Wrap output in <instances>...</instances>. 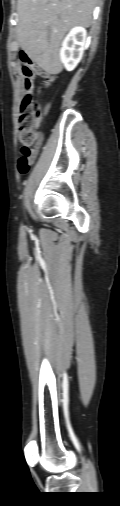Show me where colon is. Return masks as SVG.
<instances>
[{"label":"colon","instance_id":"obj_1","mask_svg":"<svg viewBox=\"0 0 120 506\" xmlns=\"http://www.w3.org/2000/svg\"><path fill=\"white\" fill-rule=\"evenodd\" d=\"M16 55L20 58V62L23 63L22 72L26 90V93L22 97L21 114L19 118V139L22 147L18 160V170L24 175L29 172L33 158L41 145L42 139L41 133L38 130L42 112L35 103L29 89L33 85L35 76H41L46 86H50L55 81V78L34 66L27 50H20Z\"/></svg>","mask_w":120,"mask_h":506}]
</instances>
